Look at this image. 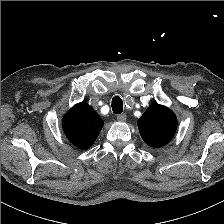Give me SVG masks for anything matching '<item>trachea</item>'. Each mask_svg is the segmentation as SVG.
<instances>
[{
	"instance_id": "1",
	"label": "trachea",
	"mask_w": 224,
	"mask_h": 224,
	"mask_svg": "<svg viewBox=\"0 0 224 224\" xmlns=\"http://www.w3.org/2000/svg\"><path fill=\"white\" fill-rule=\"evenodd\" d=\"M112 110L115 114H121L123 111V101L119 96L112 99Z\"/></svg>"
}]
</instances>
